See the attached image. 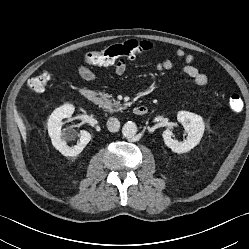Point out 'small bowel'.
Returning a JSON list of instances; mask_svg holds the SVG:
<instances>
[{"instance_id":"small-bowel-1","label":"small bowel","mask_w":249,"mask_h":249,"mask_svg":"<svg viewBox=\"0 0 249 249\" xmlns=\"http://www.w3.org/2000/svg\"><path fill=\"white\" fill-rule=\"evenodd\" d=\"M176 56L183 60V66L181 68V72L192 78L195 84L202 88L206 89L209 85L208 77L200 72V70L193 65L194 57L192 54L185 52L183 49H177ZM174 68V62L171 60H164L157 64L158 71H168ZM127 69L126 61L124 59H120L115 64V72L118 75H122L125 73ZM78 73L80 77L86 81H92L96 78L95 72L86 64L79 63L77 67Z\"/></svg>"}]
</instances>
